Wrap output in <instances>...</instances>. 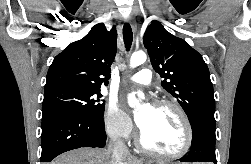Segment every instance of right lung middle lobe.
I'll return each mask as SVG.
<instances>
[{
  "label": "right lung middle lobe",
  "mask_w": 251,
  "mask_h": 164,
  "mask_svg": "<svg viewBox=\"0 0 251 164\" xmlns=\"http://www.w3.org/2000/svg\"><path fill=\"white\" fill-rule=\"evenodd\" d=\"M100 91L61 87L44 92L42 114L63 111L93 117H102L105 103Z\"/></svg>",
  "instance_id": "obj_1"
}]
</instances>
